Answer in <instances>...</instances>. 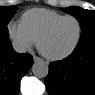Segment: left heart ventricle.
I'll use <instances>...</instances> for the list:
<instances>
[{"label":"left heart ventricle","instance_id":"obj_1","mask_svg":"<svg viewBox=\"0 0 95 95\" xmlns=\"http://www.w3.org/2000/svg\"><path fill=\"white\" fill-rule=\"evenodd\" d=\"M79 26L76 20L61 22L42 42V48L49 55H60L68 51L76 42Z\"/></svg>","mask_w":95,"mask_h":95}]
</instances>
